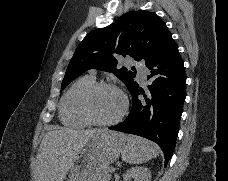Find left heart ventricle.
Wrapping results in <instances>:
<instances>
[{
  "label": "left heart ventricle",
  "instance_id": "left-heart-ventricle-1",
  "mask_svg": "<svg viewBox=\"0 0 228 181\" xmlns=\"http://www.w3.org/2000/svg\"><path fill=\"white\" fill-rule=\"evenodd\" d=\"M123 107L119 92L113 88H101L93 96L90 109L93 116L100 120L115 117Z\"/></svg>",
  "mask_w": 228,
  "mask_h": 181
}]
</instances>
